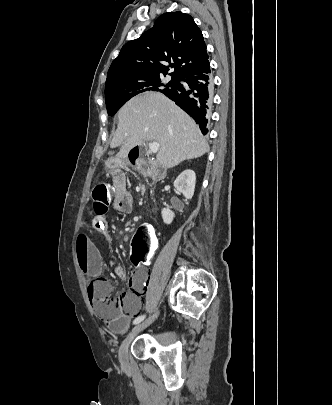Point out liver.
I'll list each match as a JSON object with an SVG mask.
<instances>
[{
  "label": "liver",
  "instance_id": "1",
  "mask_svg": "<svg viewBox=\"0 0 332 405\" xmlns=\"http://www.w3.org/2000/svg\"><path fill=\"white\" fill-rule=\"evenodd\" d=\"M118 119L110 146H121L117 154L119 160L126 158L133 146L148 141L160 144L156 158L165 168L199 158L209 150L194 120L163 94L134 97L119 110Z\"/></svg>",
  "mask_w": 332,
  "mask_h": 405
}]
</instances>
